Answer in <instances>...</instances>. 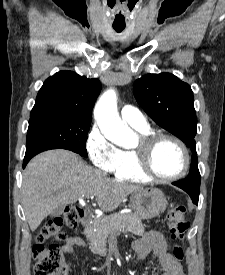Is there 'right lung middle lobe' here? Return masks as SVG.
Returning <instances> with one entry per match:
<instances>
[{
  "mask_svg": "<svg viewBox=\"0 0 225 275\" xmlns=\"http://www.w3.org/2000/svg\"><path fill=\"white\" fill-rule=\"evenodd\" d=\"M90 118L72 116H41L30 118L25 157L56 148L71 150L88 157L85 140Z\"/></svg>",
  "mask_w": 225,
  "mask_h": 275,
  "instance_id": "dd1d6c3e",
  "label": "right lung middle lobe"
}]
</instances>
